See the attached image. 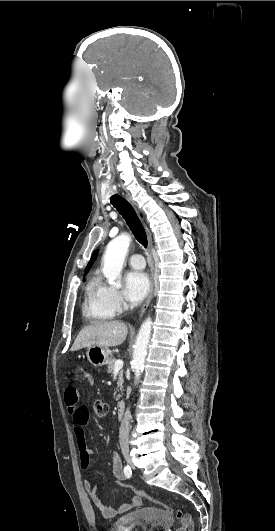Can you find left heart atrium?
<instances>
[{
	"mask_svg": "<svg viewBox=\"0 0 275 531\" xmlns=\"http://www.w3.org/2000/svg\"><path fill=\"white\" fill-rule=\"evenodd\" d=\"M124 292L132 302H139L148 293L150 281L148 275L139 270L128 272L123 280Z\"/></svg>",
	"mask_w": 275,
	"mask_h": 531,
	"instance_id": "obj_1",
	"label": "left heart atrium"
}]
</instances>
